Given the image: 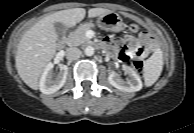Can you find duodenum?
<instances>
[{
	"label": "duodenum",
	"instance_id": "duodenum-1",
	"mask_svg": "<svg viewBox=\"0 0 194 133\" xmlns=\"http://www.w3.org/2000/svg\"><path fill=\"white\" fill-rule=\"evenodd\" d=\"M75 28V29H80L81 27H82V22L80 21V20H75L74 22H73V25L72 26H70V27H68V28H66V31H68L70 28ZM66 44V38L64 37V38H62L61 40H60V42H59V45L60 46H64ZM99 46H101L100 44H98Z\"/></svg>",
	"mask_w": 194,
	"mask_h": 133
}]
</instances>
